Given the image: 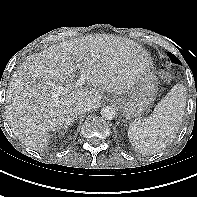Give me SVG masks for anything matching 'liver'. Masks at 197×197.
<instances>
[{"label": "liver", "instance_id": "6515ba94", "mask_svg": "<svg viewBox=\"0 0 197 197\" xmlns=\"http://www.w3.org/2000/svg\"><path fill=\"white\" fill-rule=\"evenodd\" d=\"M152 64L136 42L108 34L75 38L30 56L13 74L6 94V119L19 141L43 151L52 133L67 129L77 118L76 103L89 99L96 107L104 92L122 95ZM84 74L86 86L71 83ZM50 83H66L57 100ZM51 132V133H50Z\"/></svg>", "mask_w": 197, "mask_h": 197}]
</instances>
